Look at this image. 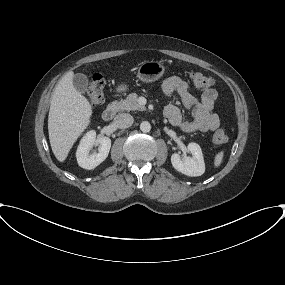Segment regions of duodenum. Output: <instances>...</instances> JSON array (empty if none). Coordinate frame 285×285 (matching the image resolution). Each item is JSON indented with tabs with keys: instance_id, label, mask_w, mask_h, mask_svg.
Returning a JSON list of instances; mask_svg holds the SVG:
<instances>
[{
	"instance_id": "obj_1",
	"label": "duodenum",
	"mask_w": 285,
	"mask_h": 285,
	"mask_svg": "<svg viewBox=\"0 0 285 285\" xmlns=\"http://www.w3.org/2000/svg\"><path fill=\"white\" fill-rule=\"evenodd\" d=\"M117 113V107L115 105L107 106L102 112V119L104 121H111Z\"/></svg>"
}]
</instances>
